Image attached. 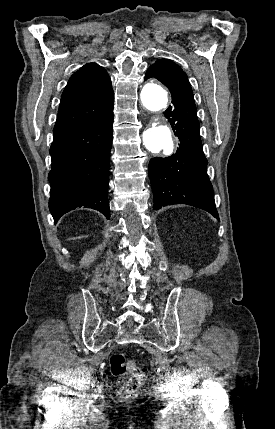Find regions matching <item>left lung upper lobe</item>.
I'll list each match as a JSON object with an SVG mask.
<instances>
[{
  "instance_id": "1",
  "label": "left lung upper lobe",
  "mask_w": 275,
  "mask_h": 429,
  "mask_svg": "<svg viewBox=\"0 0 275 429\" xmlns=\"http://www.w3.org/2000/svg\"><path fill=\"white\" fill-rule=\"evenodd\" d=\"M148 70L156 74L165 75L166 78H181L188 81L186 73L170 60L160 59L150 66Z\"/></svg>"
}]
</instances>
